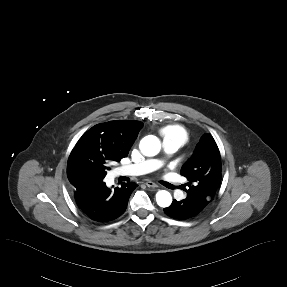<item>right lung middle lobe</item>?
<instances>
[{"label": "right lung middle lobe", "mask_w": 287, "mask_h": 287, "mask_svg": "<svg viewBox=\"0 0 287 287\" xmlns=\"http://www.w3.org/2000/svg\"><path fill=\"white\" fill-rule=\"evenodd\" d=\"M120 159L115 155L97 149H81L77 146L72 150L67 165V176L73 181L83 174H97L103 177L110 170L113 162Z\"/></svg>", "instance_id": "1"}]
</instances>
